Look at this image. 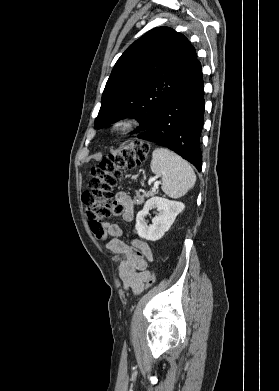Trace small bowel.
I'll use <instances>...</instances> for the list:
<instances>
[{
	"instance_id": "1",
	"label": "small bowel",
	"mask_w": 279,
	"mask_h": 391,
	"mask_svg": "<svg viewBox=\"0 0 279 391\" xmlns=\"http://www.w3.org/2000/svg\"><path fill=\"white\" fill-rule=\"evenodd\" d=\"M116 201L122 206V218L129 222L134 216V204L132 199L124 192L116 194ZM106 233L110 236L106 247L115 254L123 255L124 259L119 265L118 274L126 290L139 294L144 290L145 283L150 275L148 265L153 261V254L147 242L134 239L132 246L126 244L122 239V229L117 224L107 223ZM136 251H140L139 256Z\"/></svg>"
}]
</instances>
